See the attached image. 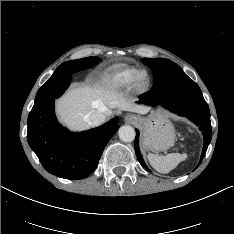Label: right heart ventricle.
I'll return each instance as SVG.
<instances>
[{
	"label": "right heart ventricle",
	"mask_w": 234,
	"mask_h": 234,
	"mask_svg": "<svg viewBox=\"0 0 234 234\" xmlns=\"http://www.w3.org/2000/svg\"><path fill=\"white\" fill-rule=\"evenodd\" d=\"M138 69L133 66H120L112 69L105 75V83L109 88L121 89L131 85Z\"/></svg>",
	"instance_id": "e07e8e85"
}]
</instances>
